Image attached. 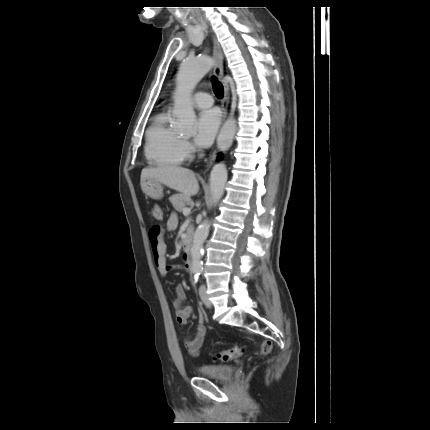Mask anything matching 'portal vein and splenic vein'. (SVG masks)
<instances>
[{"instance_id":"obj_1","label":"portal vein and splenic vein","mask_w":430,"mask_h":430,"mask_svg":"<svg viewBox=\"0 0 430 430\" xmlns=\"http://www.w3.org/2000/svg\"><path fill=\"white\" fill-rule=\"evenodd\" d=\"M190 212H191V209H190V208H184V209H183V214H184V216H188V215L190 214Z\"/></svg>"}]
</instances>
